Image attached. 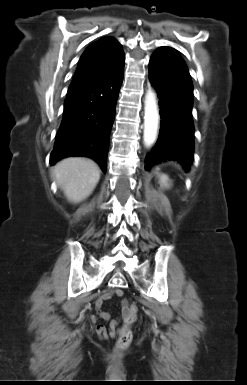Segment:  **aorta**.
<instances>
[{
  "instance_id": "aorta-1",
  "label": "aorta",
  "mask_w": 247,
  "mask_h": 385,
  "mask_svg": "<svg viewBox=\"0 0 247 385\" xmlns=\"http://www.w3.org/2000/svg\"><path fill=\"white\" fill-rule=\"evenodd\" d=\"M145 115H144V144L148 147L151 146L157 138L158 126H159V111L156 101V95L153 91L149 90L145 96Z\"/></svg>"
}]
</instances>
